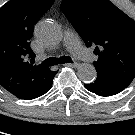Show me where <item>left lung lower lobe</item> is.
I'll list each match as a JSON object with an SVG mask.
<instances>
[{
    "instance_id": "left-lung-lower-lobe-1",
    "label": "left lung lower lobe",
    "mask_w": 135,
    "mask_h": 135,
    "mask_svg": "<svg viewBox=\"0 0 135 135\" xmlns=\"http://www.w3.org/2000/svg\"><path fill=\"white\" fill-rule=\"evenodd\" d=\"M84 87L88 91L103 97L116 95L126 88L124 86L109 82L101 77H97L94 82L85 84Z\"/></svg>"
}]
</instances>
